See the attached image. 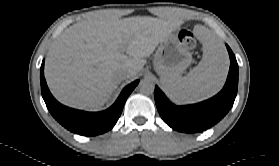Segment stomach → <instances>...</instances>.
<instances>
[{
	"label": "stomach",
	"mask_w": 279,
	"mask_h": 166,
	"mask_svg": "<svg viewBox=\"0 0 279 166\" xmlns=\"http://www.w3.org/2000/svg\"><path fill=\"white\" fill-rule=\"evenodd\" d=\"M191 62V53L176 35L170 34L158 46L154 69L160 75L161 81L173 80L179 78Z\"/></svg>",
	"instance_id": "0dacf381"
}]
</instances>
